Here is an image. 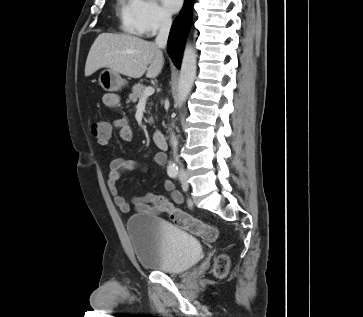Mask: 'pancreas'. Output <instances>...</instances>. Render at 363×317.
I'll return each mask as SVG.
<instances>
[{
  "label": "pancreas",
  "mask_w": 363,
  "mask_h": 317,
  "mask_svg": "<svg viewBox=\"0 0 363 317\" xmlns=\"http://www.w3.org/2000/svg\"><path fill=\"white\" fill-rule=\"evenodd\" d=\"M145 86L142 84H135L132 87V93L129 95V100L132 102H137L138 99H141V97L143 96L144 90H145ZM153 122V118H149V123Z\"/></svg>",
  "instance_id": "1"
}]
</instances>
